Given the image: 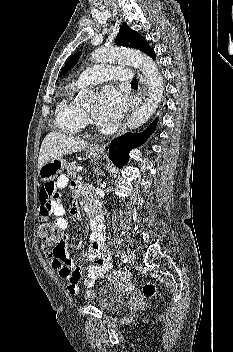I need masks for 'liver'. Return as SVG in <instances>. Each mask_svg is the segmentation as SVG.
Listing matches in <instances>:
<instances>
[{"label":"liver","instance_id":"1","mask_svg":"<svg viewBox=\"0 0 233 352\" xmlns=\"http://www.w3.org/2000/svg\"><path fill=\"white\" fill-rule=\"evenodd\" d=\"M86 141L64 134L50 132L44 138L38 158V170L52 159L61 158L81 151L87 147Z\"/></svg>","mask_w":233,"mask_h":352}]
</instances>
